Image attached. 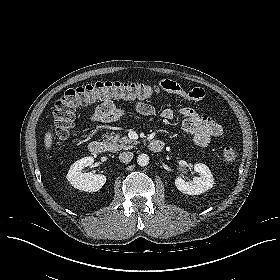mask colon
Returning <instances> with one entry per match:
<instances>
[{"mask_svg":"<svg viewBox=\"0 0 280 280\" xmlns=\"http://www.w3.org/2000/svg\"><path fill=\"white\" fill-rule=\"evenodd\" d=\"M157 92L158 87L150 84L119 81H101L67 90L54 104V138L57 141L67 138L78 106L93 103L98 99H146ZM236 158L235 148L227 146L223 149L222 160L225 163H233Z\"/></svg>","mask_w":280,"mask_h":280,"instance_id":"colon-1","label":"colon"}]
</instances>
